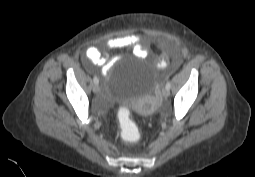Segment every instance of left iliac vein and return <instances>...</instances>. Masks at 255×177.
<instances>
[{"label": "left iliac vein", "instance_id": "left-iliac-vein-1", "mask_svg": "<svg viewBox=\"0 0 255 177\" xmlns=\"http://www.w3.org/2000/svg\"><path fill=\"white\" fill-rule=\"evenodd\" d=\"M162 95L163 97L167 98L170 95V91L169 89H167L166 87L162 90Z\"/></svg>", "mask_w": 255, "mask_h": 177}]
</instances>
